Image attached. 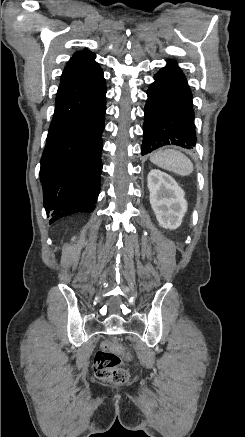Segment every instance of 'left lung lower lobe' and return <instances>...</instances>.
<instances>
[{
  "mask_svg": "<svg viewBox=\"0 0 245 437\" xmlns=\"http://www.w3.org/2000/svg\"><path fill=\"white\" fill-rule=\"evenodd\" d=\"M144 108L142 155L165 145L193 149L196 144L192 93L177 63L154 76Z\"/></svg>",
  "mask_w": 245,
  "mask_h": 437,
  "instance_id": "left-lung-lower-lobe-1",
  "label": "left lung lower lobe"
}]
</instances>
